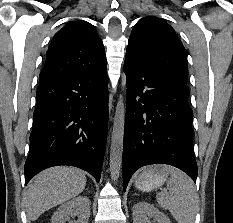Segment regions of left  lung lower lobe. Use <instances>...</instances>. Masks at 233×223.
<instances>
[{
	"instance_id": "obj_1",
	"label": "left lung lower lobe",
	"mask_w": 233,
	"mask_h": 223,
	"mask_svg": "<svg viewBox=\"0 0 233 223\" xmlns=\"http://www.w3.org/2000/svg\"><path fill=\"white\" fill-rule=\"evenodd\" d=\"M127 101L122 158L123 189L140 167L163 163L187 173L195 182L193 112L186 84L155 71L127 51Z\"/></svg>"
}]
</instances>
